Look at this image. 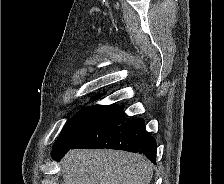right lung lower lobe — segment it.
Returning <instances> with one entry per match:
<instances>
[{
  "instance_id": "1",
  "label": "right lung lower lobe",
  "mask_w": 224,
  "mask_h": 184,
  "mask_svg": "<svg viewBox=\"0 0 224 184\" xmlns=\"http://www.w3.org/2000/svg\"><path fill=\"white\" fill-rule=\"evenodd\" d=\"M124 106H118L108 117L73 142L52 149L51 156L60 160L70 149L107 148L144 154L156 163V141L146 131L143 119H127Z\"/></svg>"
}]
</instances>
